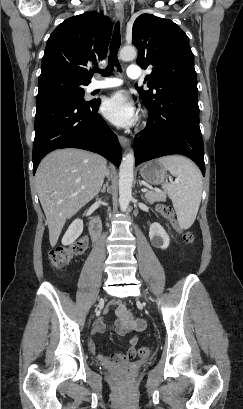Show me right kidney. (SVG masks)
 Masks as SVG:
<instances>
[{
  "label": "right kidney",
  "instance_id": "1",
  "mask_svg": "<svg viewBox=\"0 0 243 409\" xmlns=\"http://www.w3.org/2000/svg\"><path fill=\"white\" fill-rule=\"evenodd\" d=\"M83 231V221L81 219H75L68 227L65 235L62 238L63 245L72 244Z\"/></svg>",
  "mask_w": 243,
  "mask_h": 409
}]
</instances>
